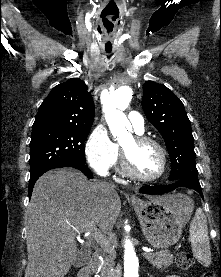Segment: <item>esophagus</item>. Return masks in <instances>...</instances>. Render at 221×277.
Segmentation results:
<instances>
[{
    "instance_id": "34e87169",
    "label": "esophagus",
    "mask_w": 221,
    "mask_h": 277,
    "mask_svg": "<svg viewBox=\"0 0 221 277\" xmlns=\"http://www.w3.org/2000/svg\"><path fill=\"white\" fill-rule=\"evenodd\" d=\"M131 199H136L135 195H130Z\"/></svg>"
}]
</instances>
